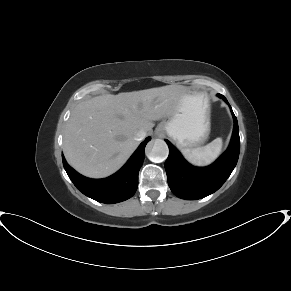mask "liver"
Listing matches in <instances>:
<instances>
[{
	"label": "liver",
	"mask_w": 291,
	"mask_h": 291,
	"mask_svg": "<svg viewBox=\"0 0 291 291\" xmlns=\"http://www.w3.org/2000/svg\"><path fill=\"white\" fill-rule=\"evenodd\" d=\"M183 87L168 85L80 102L67 121L63 151L79 173L104 178L119 170L138 147L134 134L151 132L169 115Z\"/></svg>",
	"instance_id": "6515ba94"
}]
</instances>
